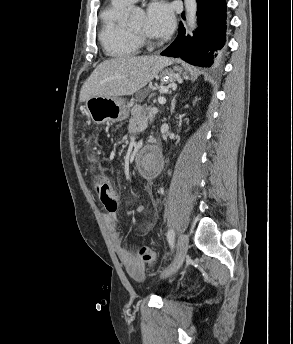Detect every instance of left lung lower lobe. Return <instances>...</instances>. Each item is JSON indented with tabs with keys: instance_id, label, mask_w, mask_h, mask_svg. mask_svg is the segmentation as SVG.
<instances>
[{
	"instance_id": "obj_1",
	"label": "left lung lower lobe",
	"mask_w": 293,
	"mask_h": 344,
	"mask_svg": "<svg viewBox=\"0 0 293 344\" xmlns=\"http://www.w3.org/2000/svg\"><path fill=\"white\" fill-rule=\"evenodd\" d=\"M198 28L194 36H186L183 24L175 41L161 55L180 57L184 61L210 67L222 55L226 41L225 0H197Z\"/></svg>"
}]
</instances>
